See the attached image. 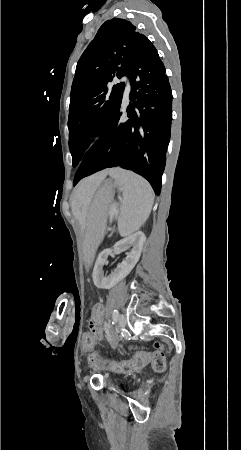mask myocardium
<instances>
[{
	"label": "myocardium",
	"instance_id": "obj_1",
	"mask_svg": "<svg viewBox=\"0 0 241 450\" xmlns=\"http://www.w3.org/2000/svg\"><path fill=\"white\" fill-rule=\"evenodd\" d=\"M100 133H101V132H100L99 130H91V131H90V134H91V135H99ZM100 135H101V134H100ZM87 140H88V142H90V143L92 142V143H93V142H98V141H99V138H98V137H93V136H92V137H91V136L88 137V139H87L86 137H83V138H82V141H83V142H86ZM98 147H101V146H98Z\"/></svg>",
	"mask_w": 241,
	"mask_h": 450
}]
</instances>
